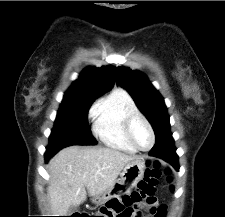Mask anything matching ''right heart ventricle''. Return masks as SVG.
Listing matches in <instances>:
<instances>
[{
    "label": "right heart ventricle",
    "mask_w": 225,
    "mask_h": 217,
    "mask_svg": "<svg viewBox=\"0 0 225 217\" xmlns=\"http://www.w3.org/2000/svg\"><path fill=\"white\" fill-rule=\"evenodd\" d=\"M133 111H137L135 101L124 89L113 90L97 104L93 128L105 146L130 154L137 152L127 140L124 128L127 115Z\"/></svg>",
    "instance_id": "obj_1"
}]
</instances>
